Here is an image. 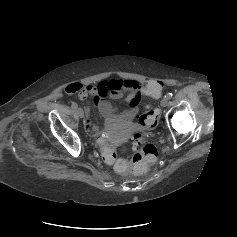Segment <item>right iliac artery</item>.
I'll return each mask as SVG.
<instances>
[{"instance_id": "obj_1", "label": "right iliac artery", "mask_w": 237, "mask_h": 237, "mask_svg": "<svg viewBox=\"0 0 237 237\" xmlns=\"http://www.w3.org/2000/svg\"><path fill=\"white\" fill-rule=\"evenodd\" d=\"M72 109H76L78 107L77 103L73 102L71 105Z\"/></svg>"}]
</instances>
